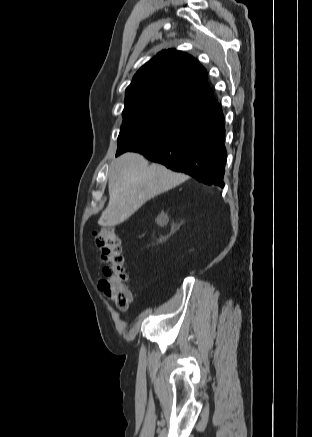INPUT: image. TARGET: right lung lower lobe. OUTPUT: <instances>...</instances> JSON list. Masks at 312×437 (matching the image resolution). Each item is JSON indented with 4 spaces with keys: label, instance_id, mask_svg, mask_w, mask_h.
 Segmentation results:
<instances>
[{
    "label": "right lung lower lobe",
    "instance_id": "obj_1",
    "mask_svg": "<svg viewBox=\"0 0 312 437\" xmlns=\"http://www.w3.org/2000/svg\"><path fill=\"white\" fill-rule=\"evenodd\" d=\"M224 137V116L217 102L199 112L174 135L132 151L174 171L189 174L199 182L223 188L227 158Z\"/></svg>",
    "mask_w": 312,
    "mask_h": 437
}]
</instances>
